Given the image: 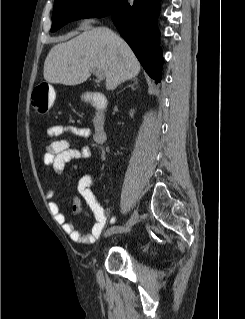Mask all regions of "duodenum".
I'll return each instance as SVG.
<instances>
[{
  "instance_id": "duodenum-1",
  "label": "duodenum",
  "mask_w": 245,
  "mask_h": 319,
  "mask_svg": "<svg viewBox=\"0 0 245 319\" xmlns=\"http://www.w3.org/2000/svg\"><path fill=\"white\" fill-rule=\"evenodd\" d=\"M85 100L95 109V115L92 120L95 142L103 144L106 140L105 110L107 108V100L98 91L88 93L85 96Z\"/></svg>"
}]
</instances>
